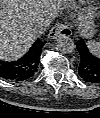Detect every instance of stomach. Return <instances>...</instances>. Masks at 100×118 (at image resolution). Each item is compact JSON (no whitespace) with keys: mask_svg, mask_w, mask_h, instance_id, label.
I'll return each mask as SVG.
<instances>
[{"mask_svg":"<svg viewBox=\"0 0 100 118\" xmlns=\"http://www.w3.org/2000/svg\"><path fill=\"white\" fill-rule=\"evenodd\" d=\"M76 23L85 38H92L96 34L95 17L91 9L83 10L77 17Z\"/></svg>","mask_w":100,"mask_h":118,"instance_id":"stomach-1","label":"stomach"}]
</instances>
